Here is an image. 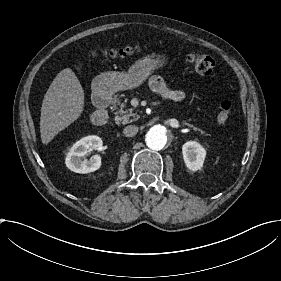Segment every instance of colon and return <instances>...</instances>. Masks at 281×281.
<instances>
[{"label": "colon", "instance_id": "1", "mask_svg": "<svg viewBox=\"0 0 281 281\" xmlns=\"http://www.w3.org/2000/svg\"><path fill=\"white\" fill-rule=\"evenodd\" d=\"M147 50L144 44H130L122 47H95L90 54L94 60H119L126 61L138 58ZM187 61L203 76H211L215 72L213 59L206 54L190 53ZM232 114V102L224 100L220 102L215 112V122L218 127H224Z\"/></svg>", "mask_w": 281, "mask_h": 281}]
</instances>
